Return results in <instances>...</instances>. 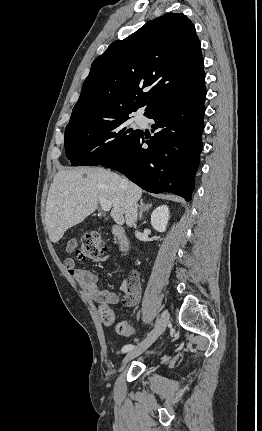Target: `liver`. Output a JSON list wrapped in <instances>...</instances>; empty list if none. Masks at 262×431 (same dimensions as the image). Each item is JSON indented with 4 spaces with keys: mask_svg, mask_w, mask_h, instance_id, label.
I'll return each mask as SVG.
<instances>
[{
    "mask_svg": "<svg viewBox=\"0 0 262 431\" xmlns=\"http://www.w3.org/2000/svg\"><path fill=\"white\" fill-rule=\"evenodd\" d=\"M142 189L120 175L101 167L60 170L50 186L45 213L49 239L57 243L72 226L92 214L100 198L112 203L111 217L124 222V208L129 197L136 201Z\"/></svg>",
    "mask_w": 262,
    "mask_h": 431,
    "instance_id": "6515ba94",
    "label": "liver"
}]
</instances>
